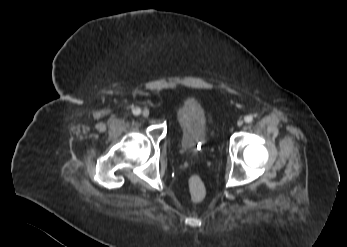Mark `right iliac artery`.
<instances>
[{"instance_id":"obj_1","label":"right iliac artery","mask_w":347,"mask_h":247,"mask_svg":"<svg viewBox=\"0 0 347 247\" xmlns=\"http://www.w3.org/2000/svg\"><path fill=\"white\" fill-rule=\"evenodd\" d=\"M132 113H133L134 115H139V114L141 113V109L138 108V107H134V108L132 109Z\"/></svg>"}]
</instances>
